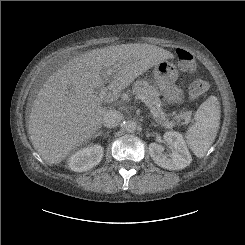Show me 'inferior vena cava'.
Listing matches in <instances>:
<instances>
[{
    "mask_svg": "<svg viewBox=\"0 0 245 245\" xmlns=\"http://www.w3.org/2000/svg\"><path fill=\"white\" fill-rule=\"evenodd\" d=\"M122 120V114L117 110H107L102 118V123L107 128H113L119 125Z\"/></svg>",
    "mask_w": 245,
    "mask_h": 245,
    "instance_id": "obj_1",
    "label": "inferior vena cava"
}]
</instances>
